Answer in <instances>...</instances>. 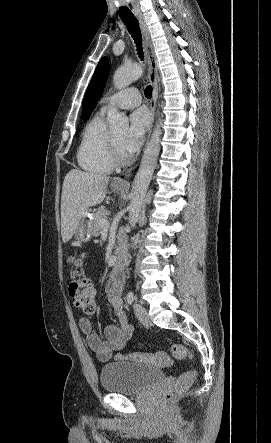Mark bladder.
Masks as SVG:
<instances>
[{
  "instance_id": "obj_1",
  "label": "bladder",
  "mask_w": 271,
  "mask_h": 443,
  "mask_svg": "<svg viewBox=\"0 0 271 443\" xmlns=\"http://www.w3.org/2000/svg\"><path fill=\"white\" fill-rule=\"evenodd\" d=\"M164 377L159 368L127 362L105 364L100 372L102 388L114 394H135L159 383Z\"/></svg>"
}]
</instances>
